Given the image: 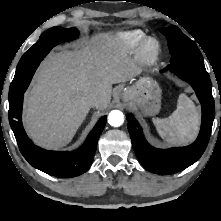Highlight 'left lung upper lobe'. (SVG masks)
<instances>
[{
	"instance_id": "1",
	"label": "left lung upper lobe",
	"mask_w": 221,
	"mask_h": 221,
	"mask_svg": "<svg viewBox=\"0 0 221 221\" xmlns=\"http://www.w3.org/2000/svg\"><path fill=\"white\" fill-rule=\"evenodd\" d=\"M166 36L171 54V63H182L205 69L203 56L193 40L178 27L160 29Z\"/></svg>"
}]
</instances>
